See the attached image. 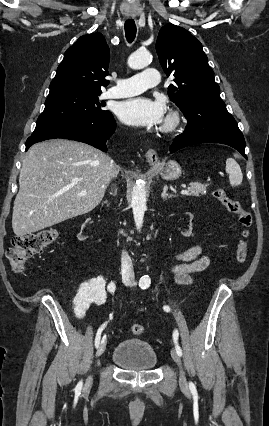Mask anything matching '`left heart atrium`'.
<instances>
[{
	"label": "left heart atrium",
	"mask_w": 269,
	"mask_h": 426,
	"mask_svg": "<svg viewBox=\"0 0 269 426\" xmlns=\"http://www.w3.org/2000/svg\"><path fill=\"white\" fill-rule=\"evenodd\" d=\"M165 108L161 101L137 97L122 101L117 116L125 124L135 127H154L164 120Z\"/></svg>",
	"instance_id": "left-heart-atrium-1"
}]
</instances>
